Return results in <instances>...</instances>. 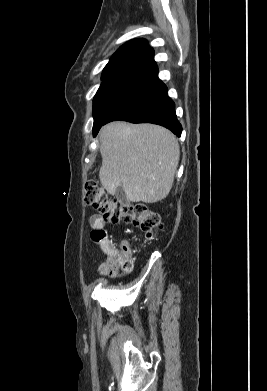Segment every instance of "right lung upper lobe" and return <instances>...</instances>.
Returning <instances> with one entry per match:
<instances>
[{
    "instance_id": "cb5924a9",
    "label": "right lung upper lobe",
    "mask_w": 267,
    "mask_h": 391,
    "mask_svg": "<svg viewBox=\"0 0 267 391\" xmlns=\"http://www.w3.org/2000/svg\"><path fill=\"white\" fill-rule=\"evenodd\" d=\"M154 51L145 39H134L122 45L105 66L102 78L116 75L156 77L158 68Z\"/></svg>"
}]
</instances>
